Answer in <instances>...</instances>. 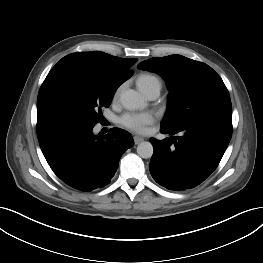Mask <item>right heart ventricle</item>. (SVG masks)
I'll return each instance as SVG.
<instances>
[{
    "instance_id": "1",
    "label": "right heart ventricle",
    "mask_w": 263,
    "mask_h": 263,
    "mask_svg": "<svg viewBox=\"0 0 263 263\" xmlns=\"http://www.w3.org/2000/svg\"><path fill=\"white\" fill-rule=\"evenodd\" d=\"M155 80H158V79L153 75L141 74L137 79V83H138V85H143V84H146L148 82L155 81Z\"/></svg>"
}]
</instances>
